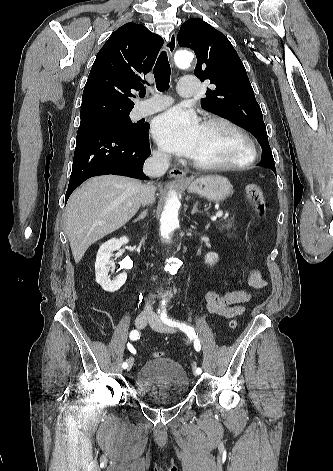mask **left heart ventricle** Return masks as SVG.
Returning <instances> with one entry per match:
<instances>
[{"mask_svg":"<svg viewBox=\"0 0 333 471\" xmlns=\"http://www.w3.org/2000/svg\"><path fill=\"white\" fill-rule=\"evenodd\" d=\"M244 144L240 137L226 126H201L200 138L193 159L202 163H223L243 156Z\"/></svg>","mask_w":333,"mask_h":471,"instance_id":"1","label":"left heart ventricle"}]
</instances>
